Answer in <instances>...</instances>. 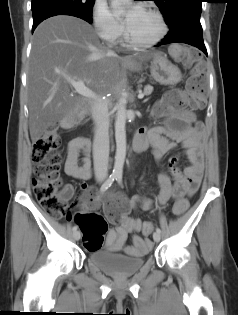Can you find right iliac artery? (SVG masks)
Wrapping results in <instances>:
<instances>
[{
    "instance_id": "right-iliac-artery-1",
    "label": "right iliac artery",
    "mask_w": 238,
    "mask_h": 315,
    "mask_svg": "<svg viewBox=\"0 0 238 315\" xmlns=\"http://www.w3.org/2000/svg\"><path fill=\"white\" fill-rule=\"evenodd\" d=\"M116 178H117V174L112 173L109 176V178L102 184V186L100 188V192H105L113 184V182L116 180ZM77 228H78V226H74L73 231H76Z\"/></svg>"
}]
</instances>
